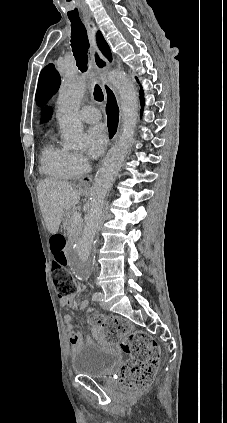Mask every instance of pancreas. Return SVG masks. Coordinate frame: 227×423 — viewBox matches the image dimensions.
<instances>
[{"label":"pancreas","instance_id":"1","mask_svg":"<svg viewBox=\"0 0 227 423\" xmlns=\"http://www.w3.org/2000/svg\"><path fill=\"white\" fill-rule=\"evenodd\" d=\"M75 210L67 211L66 215V231L69 235V239H73V241H77L79 237V233H81L82 225H80L79 221L75 223L73 219H71L72 213H74Z\"/></svg>","mask_w":227,"mask_h":423}]
</instances>
